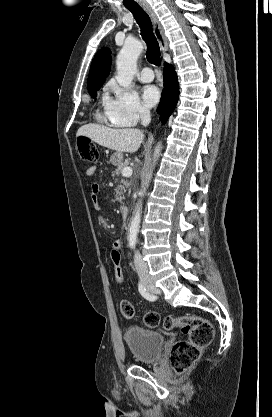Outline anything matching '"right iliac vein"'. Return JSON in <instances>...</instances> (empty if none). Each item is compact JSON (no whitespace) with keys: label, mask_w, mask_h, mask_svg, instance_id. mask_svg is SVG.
Returning a JSON list of instances; mask_svg holds the SVG:
<instances>
[{"label":"right iliac vein","mask_w":272,"mask_h":417,"mask_svg":"<svg viewBox=\"0 0 272 417\" xmlns=\"http://www.w3.org/2000/svg\"><path fill=\"white\" fill-rule=\"evenodd\" d=\"M141 281H142L143 285L148 290H150L151 292H153V293H158L159 292V290L154 286L153 282L149 278L142 276Z\"/></svg>","instance_id":"63e3f726"}]
</instances>
